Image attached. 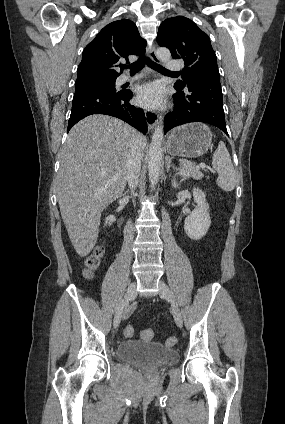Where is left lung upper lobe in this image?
Returning a JSON list of instances; mask_svg holds the SVG:
<instances>
[{
  "mask_svg": "<svg viewBox=\"0 0 285 424\" xmlns=\"http://www.w3.org/2000/svg\"><path fill=\"white\" fill-rule=\"evenodd\" d=\"M157 42L167 47L174 59L185 62L181 71L183 80L177 81L174 86L184 88L187 83L200 77L220 79L210 39L192 20L183 16L164 20L158 30Z\"/></svg>",
  "mask_w": 285,
  "mask_h": 424,
  "instance_id": "5c2ea615",
  "label": "left lung upper lobe"
}]
</instances>
